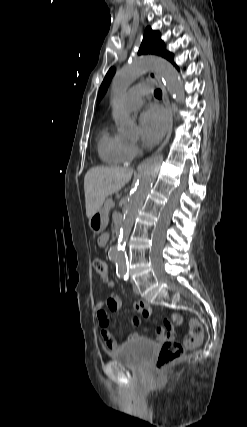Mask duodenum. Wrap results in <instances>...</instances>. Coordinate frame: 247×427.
<instances>
[{
	"label": "duodenum",
	"mask_w": 247,
	"mask_h": 427,
	"mask_svg": "<svg viewBox=\"0 0 247 427\" xmlns=\"http://www.w3.org/2000/svg\"><path fill=\"white\" fill-rule=\"evenodd\" d=\"M119 230H120V226H119V227H117V230H116V235H117V236H119Z\"/></svg>",
	"instance_id": "1"
}]
</instances>
